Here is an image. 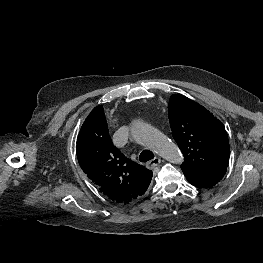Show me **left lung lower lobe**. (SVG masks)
<instances>
[{"mask_svg": "<svg viewBox=\"0 0 263 263\" xmlns=\"http://www.w3.org/2000/svg\"><path fill=\"white\" fill-rule=\"evenodd\" d=\"M183 173L189 183L197 188H210L218 183L225 172L221 171H201V170H183Z\"/></svg>", "mask_w": 263, "mask_h": 263, "instance_id": "1", "label": "left lung lower lobe"}]
</instances>
